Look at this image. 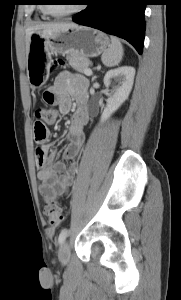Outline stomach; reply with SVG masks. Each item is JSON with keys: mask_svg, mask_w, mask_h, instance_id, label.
Wrapping results in <instances>:
<instances>
[{"mask_svg": "<svg viewBox=\"0 0 181 300\" xmlns=\"http://www.w3.org/2000/svg\"><path fill=\"white\" fill-rule=\"evenodd\" d=\"M110 46L106 34L76 25L54 35L31 34L27 53V75L32 86L43 85L49 76L53 54L77 53L83 58L96 57Z\"/></svg>", "mask_w": 181, "mask_h": 300, "instance_id": "stomach-1", "label": "stomach"}]
</instances>
